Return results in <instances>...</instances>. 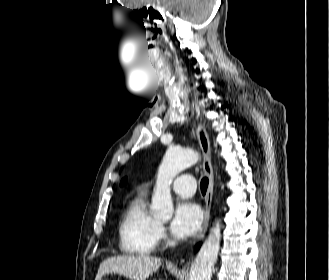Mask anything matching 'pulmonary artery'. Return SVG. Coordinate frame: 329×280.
Listing matches in <instances>:
<instances>
[{"mask_svg": "<svg viewBox=\"0 0 329 280\" xmlns=\"http://www.w3.org/2000/svg\"><path fill=\"white\" fill-rule=\"evenodd\" d=\"M195 187V179L189 174L178 176L172 184L173 191L183 198L191 197L195 192Z\"/></svg>", "mask_w": 329, "mask_h": 280, "instance_id": "e3ab8cb5", "label": "pulmonary artery"}]
</instances>
